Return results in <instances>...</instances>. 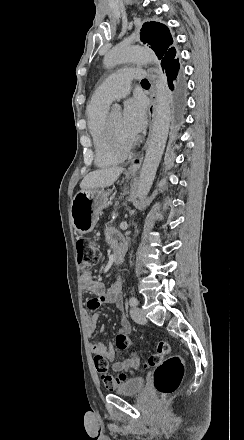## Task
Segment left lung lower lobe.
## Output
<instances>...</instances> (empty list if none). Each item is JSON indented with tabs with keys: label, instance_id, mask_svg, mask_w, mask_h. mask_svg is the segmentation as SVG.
Segmentation results:
<instances>
[{
	"label": "left lung lower lobe",
	"instance_id": "1",
	"mask_svg": "<svg viewBox=\"0 0 244 440\" xmlns=\"http://www.w3.org/2000/svg\"><path fill=\"white\" fill-rule=\"evenodd\" d=\"M171 89L172 113L170 120V142L177 143L184 122L186 108V82L184 73L180 70L178 59L163 67Z\"/></svg>",
	"mask_w": 244,
	"mask_h": 440
}]
</instances>
